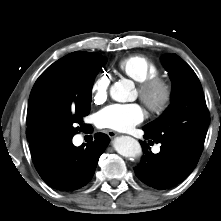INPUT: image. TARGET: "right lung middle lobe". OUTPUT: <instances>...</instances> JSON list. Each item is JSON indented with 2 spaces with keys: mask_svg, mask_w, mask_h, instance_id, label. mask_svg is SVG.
Segmentation results:
<instances>
[{
  "mask_svg": "<svg viewBox=\"0 0 221 221\" xmlns=\"http://www.w3.org/2000/svg\"><path fill=\"white\" fill-rule=\"evenodd\" d=\"M106 59L95 53L35 83L28 103L26 136L30 149L71 141L91 107V91Z\"/></svg>",
  "mask_w": 221,
  "mask_h": 221,
  "instance_id": "1",
  "label": "right lung middle lobe"
}]
</instances>
